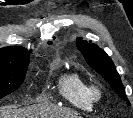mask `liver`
Returning <instances> with one entry per match:
<instances>
[{
	"label": "liver",
	"mask_w": 133,
	"mask_h": 118,
	"mask_svg": "<svg viewBox=\"0 0 133 118\" xmlns=\"http://www.w3.org/2000/svg\"><path fill=\"white\" fill-rule=\"evenodd\" d=\"M0 118H81L79 114L67 108L47 104L35 105L23 109L12 106L0 108Z\"/></svg>",
	"instance_id": "obj_1"
}]
</instances>
